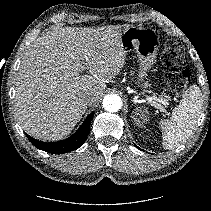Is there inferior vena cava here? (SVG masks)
Returning a JSON list of instances; mask_svg holds the SVG:
<instances>
[{
  "mask_svg": "<svg viewBox=\"0 0 211 211\" xmlns=\"http://www.w3.org/2000/svg\"><path fill=\"white\" fill-rule=\"evenodd\" d=\"M94 101V97L92 95H84L82 97V102L86 105H91Z\"/></svg>",
  "mask_w": 211,
  "mask_h": 211,
  "instance_id": "602c4592",
  "label": "inferior vena cava"
}]
</instances>
